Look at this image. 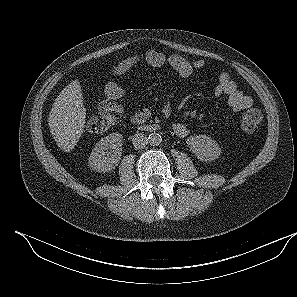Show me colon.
<instances>
[{
  "label": "colon",
  "mask_w": 297,
  "mask_h": 297,
  "mask_svg": "<svg viewBox=\"0 0 297 297\" xmlns=\"http://www.w3.org/2000/svg\"><path fill=\"white\" fill-rule=\"evenodd\" d=\"M119 114L111 110H100L96 116L86 124V131L90 134H104L118 123ZM263 120V114L259 109L251 108L244 112L241 119V129L246 133L255 132Z\"/></svg>",
  "instance_id": "1"
}]
</instances>
